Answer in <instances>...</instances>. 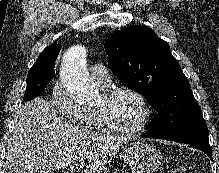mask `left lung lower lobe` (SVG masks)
Here are the masks:
<instances>
[{"instance_id": "1", "label": "left lung lower lobe", "mask_w": 219, "mask_h": 173, "mask_svg": "<svg viewBox=\"0 0 219 173\" xmlns=\"http://www.w3.org/2000/svg\"><path fill=\"white\" fill-rule=\"evenodd\" d=\"M142 136L149 137V138L168 139L172 141L187 143V144H190V145H193L199 148L204 153H206L210 159H212L211 148L209 145L208 132H205V131L188 132V133H183V134L174 135V136H154V135H149L145 133Z\"/></svg>"}]
</instances>
